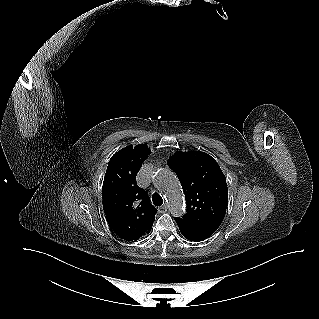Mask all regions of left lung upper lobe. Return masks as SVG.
Here are the masks:
<instances>
[{
  "label": "left lung upper lobe",
  "instance_id": "5c2ea615",
  "mask_svg": "<svg viewBox=\"0 0 319 319\" xmlns=\"http://www.w3.org/2000/svg\"><path fill=\"white\" fill-rule=\"evenodd\" d=\"M182 185L187 213L183 220L218 229L228 205L226 178L216 160L204 152H177L167 161Z\"/></svg>",
  "mask_w": 319,
  "mask_h": 319
}]
</instances>
